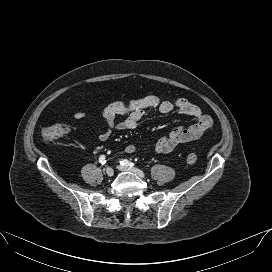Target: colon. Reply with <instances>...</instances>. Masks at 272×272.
I'll use <instances>...</instances> for the list:
<instances>
[{
  "mask_svg": "<svg viewBox=\"0 0 272 272\" xmlns=\"http://www.w3.org/2000/svg\"><path fill=\"white\" fill-rule=\"evenodd\" d=\"M68 125L64 123H51L42 128L41 137L46 143L58 140L68 135ZM198 160V156L195 153H189L186 156V161L189 164H194Z\"/></svg>",
  "mask_w": 272,
  "mask_h": 272,
  "instance_id": "1",
  "label": "colon"
}]
</instances>
